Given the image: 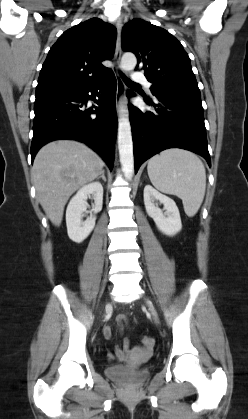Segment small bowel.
Returning a JSON list of instances; mask_svg holds the SVG:
<instances>
[{
    "label": "small bowel",
    "mask_w": 248,
    "mask_h": 419,
    "mask_svg": "<svg viewBox=\"0 0 248 419\" xmlns=\"http://www.w3.org/2000/svg\"><path fill=\"white\" fill-rule=\"evenodd\" d=\"M118 322L120 323V325L123 327V325L126 323V318L124 315H120L118 317ZM105 336L107 338H111L112 337V331L110 328H106L105 329ZM131 348V343L130 340L128 338H124L123 342H122V348L116 347L114 350V353L110 354L109 357L112 360H123L126 356V353L130 350Z\"/></svg>",
    "instance_id": "c3829d8e"
}]
</instances>
